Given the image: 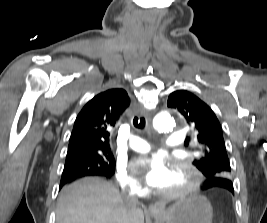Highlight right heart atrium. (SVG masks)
<instances>
[{"mask_svg":"<svg viewBox=\"0 0 267 223\" xmlns=\"http://www.w3.org/2000/svg\"><path fill=\"white\" fill-rule=\"evenodd\" d=\"M115 178L120 187L130 195H140L142 187L138 180L133 177L123 164H118L115 171Z\"/></svg>","mask_w":267,"mask_h":223,"instance_id":"1","label":"right heart atrium"}]
</instances>
